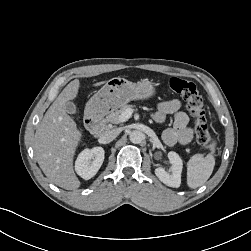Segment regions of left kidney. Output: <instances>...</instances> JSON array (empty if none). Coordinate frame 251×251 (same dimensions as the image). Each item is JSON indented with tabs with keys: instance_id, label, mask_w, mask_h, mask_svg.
Returning a JSON list of instances; mask_svg holds the SVG:
<instances>
[{
	"instance_id": "1",
	"label": "left kidney",
	"mask_w": 251,
	"mask_h": 251,
	"mask_svg": "<svg viewBox=\"0 0 251 251\" xmlns=\"http://www.w3.org/2000/svg\"><path fill=\"white\" fill-rule=\"evenodd\" d=\"M168 158L171 163V174L167 173L163 168L155 169V174L161 182L169 187L178 188L181 184V173L183 168V161L180 156L173 151L168 153Z\"/></svg>"
}]
</instances>
